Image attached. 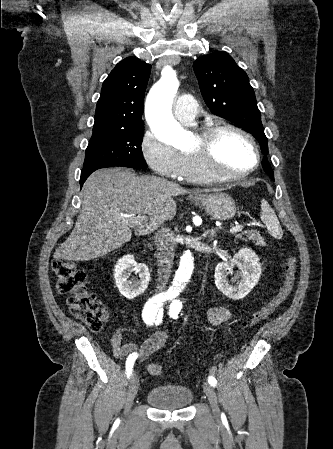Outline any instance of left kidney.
<instances>
[{
  "instance_id": "5707ae66",
  "label": "left kidney",
  "mask_w": 333,
  "mask_h": 449,
  "mask_svg": "<svg viewBox=\"0 0 333 449\" xmlns=\"http://www.w3.org/2000/svg\"><path fill=\"white\" fill-rule=\"evenodd\" d=\"M233 267L240 269V283L232 285L229 274ZM261 264L254 251L248 248L240 249L228 262H221L215 269V285L224 295L232 299L244 298L259 282Z\"/></svg>"
}]
</instances>
